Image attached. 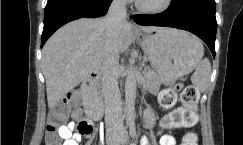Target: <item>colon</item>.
<instances>
[{"label":"colon","instance_id":"colon-1","mask_svg":"<svg viewBox=\"0 0 243 145\" xmlns=\"http://www.w3.org/2000/svg\"><path fill=\"white\" fill-rule=\"evenodd\" d=\"M178 91H181L180 100L182 106L174 109L162 118L161 126L164 128H190L197 121L195 106L199 98V91L192 85L183 86L182 83H178L173 89L162 93L160 96L161 106L164 108L172 107L176 102ZM76 100V94L70 92L50 112L46 126V145H62L59 139V129L68 119L71 107L76 103ZM75 112L78 114V132L83 135L90 133L92 124L88 120L83 119L78 111ZM182 145H197L196 135L194 133L186 134Z\"/></svg>","mask_w":243,"mask_h":145}]
</instances>
